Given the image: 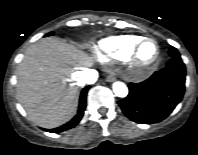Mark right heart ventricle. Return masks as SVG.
I'll list each match as a JSON object with an SVG mask.
<instances>
[{"mask_svg": "<svg viewBox=\"0 0 198 155\" xmlns=\"http://www.w3.org/2000/svg\"><path fill=\"white\" fill-rule=\"evenodd\" d=\"M140 40V36L134 35L107 37L98 43L100 56L102 59L122 60L132 52Z\"/></svg>", "mask_w": 198, "mask_h": 155, "instance_id": "1", "label": "right heart ventricle"}]
</instances>
